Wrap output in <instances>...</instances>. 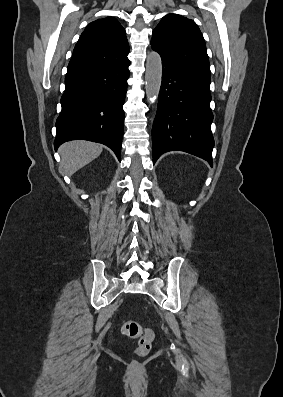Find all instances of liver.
<instances>
[{"instance_id": "1", "label": "liver", "mask_w": 283, "mask_h": 397, "mask_svg": "<svg viewBox=\"0 0 283 397\" xmlns=\"http://www.w3.org/2000/svg\"><path fill=\"white\" fill-rule=\"evenodd\" d=\"M102 150V145L84 140L64 143L59 148L62 172L68 176L73 175L96 159L102 153Z\"/></svg>"}]
</instances>
